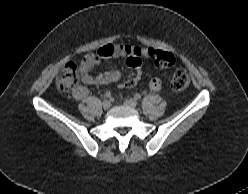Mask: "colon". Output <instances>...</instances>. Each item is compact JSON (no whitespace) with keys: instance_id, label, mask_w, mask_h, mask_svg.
Instances as JSON below:
<instances>
[{"instance_id":"1","label":"colon","mask_w":248,"mask_h":194,"mask_svg":"<svg viewBox=\"0 0 248 194\" xmlns=\"http://www.w3.org/2000/svg\"><path fill=\"white\" fill-rule=\"evenodd\" d=\"M155 63L158 68H167L171 67L175 63V58L172 54L164 51H156L154 54ZM78 68L74 62L66 64L58 77L57 86L61 91H69L74 88L78 82ZM138 76H135L132 79L124 81L120 84L121 88H127L131 82H137ZM190 83V77L186 70L183 68H178L171 79V87L174 90H184L188 87Z\"/></svg>"}]
</instances>
